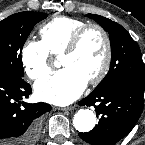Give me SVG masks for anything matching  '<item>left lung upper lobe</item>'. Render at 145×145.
Returning <instances> with one entry per match:
<instances>
[{"instance_id": "obj_1", "label": "left lung upper lobe", "mask_w": 145, "mask_h": 145, "mask_svg": "<svg viewBox=\"0 0 145 145\" xmlns=\"http://www.w3.org/2000/svg\"><path fill=\"white\" fill-rule=\"evenodd\" d=\"M108 33L111 42V65L106 77L94 89L93 93L104 91L120 83L145 86V70L138 44L118 23L100 15L87 14Z\"/></svg>"}]
</instances>
